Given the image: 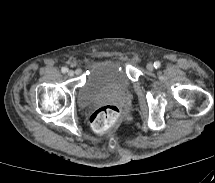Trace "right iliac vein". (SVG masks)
Returning a JSON list of instances; mask_svg holds the SVG:
<instances>
[{"mask_svg":"<svg viewBox=\"0 0 215 183\" xmlns=\"http://www.w3.org/2000/svg\"><path fill=\"white\" fill-rule=\"evenodd\" d=\"M67 74H68V76H70V77H72V76H74V71L73 70H69L68 72H67Z\"/></svg>","mask_w":215,"mask_h":183,"instance_id":"right-iliac-vein-1","label":"right iliac vein"}]
</instances>
